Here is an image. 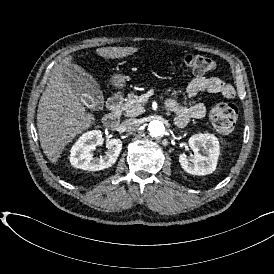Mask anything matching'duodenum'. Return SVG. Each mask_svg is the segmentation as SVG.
Listing matches in <instances>:
<instances>
[{
	"label": "duodenum",
	"mask_w": 274,
	"mask_h": 274,
	"mask_svg": "<svg viewBox=\"0 0 274 274\" xmlns=\"http://www.w3.org/2000/svg\"><path fill=\"white\" fill-rule=\"evenodd\" d=\"M122 98L119 94L112 95L107 102L108 112L103 119V124L108 129L118 127L121 119Z\"/></svg>",
	"instance_id": "1"
}]
</instances>
